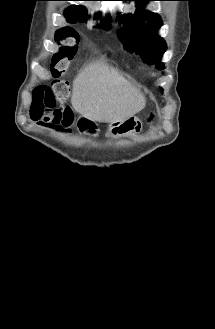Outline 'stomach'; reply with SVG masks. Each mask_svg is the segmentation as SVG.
<instances>
[{"label":"stomach","mask_w":215,"mask_h":329,"mask_svg":"<svg viewBox=\"0 0 215 329\" xmlns=\"http://www.w3.org/2000/svg\"><path fill=\"white\" fill-rule=\"evenodd\" d=\"M142 130V124L138 117L132 116L123 121L113 122L109 125V133L112 136L137 135Z\"/></svg>","instance_id":"0dacf381"}]
</instances>
